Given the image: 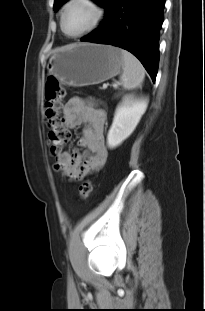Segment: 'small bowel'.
I'll return each mask as SVG.
<instances>
[{"mask_svg":"<svg viewBox=\"0 0 205 311\" xmlns=\"http://www.w3.org/2000/svg\"><path fill=\"white\" fill-rule=\"evenodd\" d=\"M64 125L68 129L82 127L78 148L56 156L55 169L73 180H80L100 169L107 161L104 142L106 112L80 97L70 98L63 109Z\"/></svg>","mask_w":205,"mask_h":311,"instance_id":"c3829d8e","label":"small bowel"}]
</instances>
